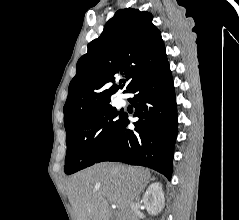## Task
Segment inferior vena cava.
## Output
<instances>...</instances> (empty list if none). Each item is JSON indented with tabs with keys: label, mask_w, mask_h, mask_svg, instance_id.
Returning <instances> with one entry per match:
<instances>
[{
	"label": "inferior vena cava",
	"mask_w": 239,
	"mask_h": 220,
	"mask_svg": "<svg viewBox=\"0 0 239 220\" xmlns=\"http://www.w3.org/2000/svg\"><path fill=\"white\" fill-rule=\"evenodd\" d=\"M127 220H135V203H130V213L126 216Z\"/></svg>",
	"instance_id": "1"
}]
</instances>
